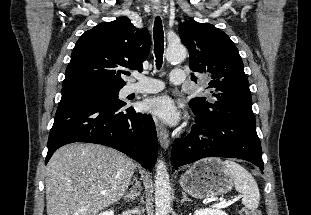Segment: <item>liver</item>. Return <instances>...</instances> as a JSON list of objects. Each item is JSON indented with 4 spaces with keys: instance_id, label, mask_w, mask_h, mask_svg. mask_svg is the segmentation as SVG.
Returning a JSON list of instances; mask_svg holds the SVG:
<instances>
[{
    "instance_id": "obj_1",
    "label": "liver",
    "mask_w": 311,
    "mask_h": 215,
    "mask_svg": "<svg viewBox=\"0 0 311 215\" xmlns=\"http://www.w3.org/2000/svg\"><path fill=\"white\" fill-rule=\"evenodd\" d=\"M135 164L114 149L73 143L46 168L47 215H97L126 192Z\"/></svg>"
}]
</instances>
